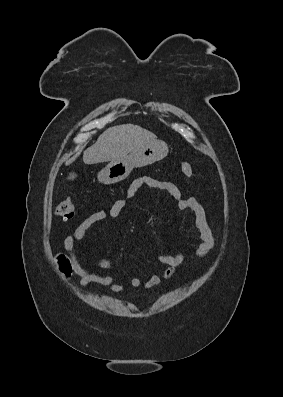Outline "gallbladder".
<instances>
[{
  "instance_id": "1",
  "label": "gallbladder",
  "mask_w": 283,
  "mask_h": 397,
  "mask_svg": "<svg viewBox=\"0 0 283 397\" xmlns=\"http://www.w3.org/2000/svg\"><path fill=\"white\" fill-rule=\"evenodd\" d=\"M76 177L74 173L69 174L68 179L73 180Z\"/></svg>"
}]
</instances>
